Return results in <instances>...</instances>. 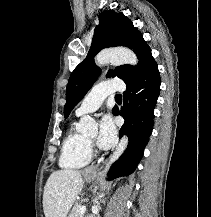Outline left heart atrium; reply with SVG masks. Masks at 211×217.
Returning a JSON list of instances; mask_svg holds the SVG:
<instances>
[{
    "mask_svg": "<svg viewBox=\"0 0 211 217\" xmlns=\"http://www.w3.org/2000/svg\"><path fill=\"white\" fill-rule=\"evenodd\" d=\"M116 139V128L112 118L104 116L100 122L97 145L102 149L110 148Z\"/></svg>",
    "mask_w": 211,
    "mask_h": 217,
    "instance_id": "left-heart-atrium-1",
    "label": "left heart atrium"
}]
</instances>
